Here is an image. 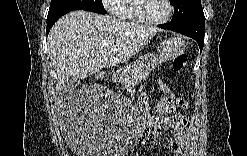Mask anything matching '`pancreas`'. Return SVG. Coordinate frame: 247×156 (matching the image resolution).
<instances>
[{"label":"pancreas","mask_w":247,"mask_h":156,"mask_svg":"<svg viewBox=\"0 0 247 156\" xmlns=\"http://www.w3.org/2000/svg\"><path fill=\"white\" fill-rule=\"evenodd\" d=\"M150 74V69L146 65L137 61L113 74V80L126 86L136 85L145 80Z\"/></svg>","instance_id":"pancreas-1"}]
</instances>
